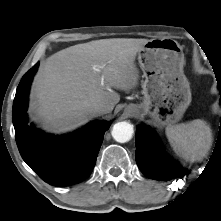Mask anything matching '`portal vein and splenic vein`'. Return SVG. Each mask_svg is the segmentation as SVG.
<instances>
[{"mask_svg":"<svg viewBox=\"0 0 221 221\" xmlns=\"http://www.w3.org/2000/svg\"><path fill=\"white\" fill-rule=\"evenodd\" d=\"M103 82H104V81H103V79H102L101 83L103 84Z\"/></svg>","mask_w":221,"mask_h":221,"instance_id":"18ae733b","label":"portal vein and splenic vein"}]
</instances>
